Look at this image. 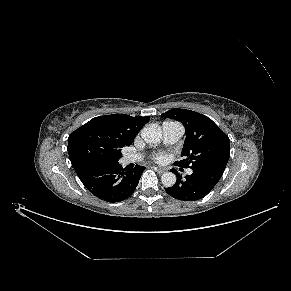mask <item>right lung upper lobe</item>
<instances>
[{
  "label": "right lung upper lobe",
  "mask_w": 291,
  "mask_h": 291,
  "mask_svg": "<svg viewBox=\"0 0 291 291\" xmlns=\"http://www.w3.org/2000/svg\"><path fill=\"white\" fill-rule=\"evenodd\" d=\"M150 120L126 114L99 116L72 132L68 138V153L73 167L89 160L99 151L121 152L131 145L141 128Z\"/></svg>",
  "instance_id": "obj_1"
}]
</instances>
